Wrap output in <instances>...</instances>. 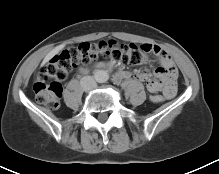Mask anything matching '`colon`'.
<instances>
[{
	"label": "colon",
	"instance_id": "obj_1",
	"mask_svg": "<svg viewBox=\"0 0 219 174\" xmlns=\"http://www.w3.org/2000/svg\"><path fill=\"white\" fill-rule=\"evenodd\" d=\"M99 58L129 66H139L147 61V52L135 44H120L114 40L99 43H81L78 47L64 50L43 66L33 83L36 101L50 109H57L62 96L61 81L80 64H90ZM154 103H162L165 98L159 93H151Z\"/></svg>",
	"mask_w": 219,
	"mask_h": 174
}]
</instances>
